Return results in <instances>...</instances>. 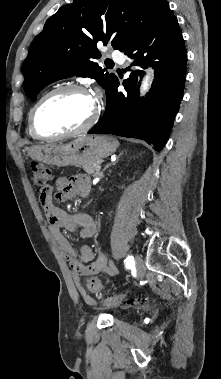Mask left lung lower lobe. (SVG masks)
Wrapping results in <instances>:
<instances>
[{"label": "left lung lower lobe", "mask_w": 221, "mask_h": 379, "mask_svg": "<svg viewBox=\"0 0 221 379\" xmlns=\"http://www.w3.org/2000/svg\"><path fill=\"white\" fill-rule=\"evenodd\" d=\"M125 55L133 59L130 77L123 82L126 92H118L116 79L106 91V110L88 133L114 134L145 140L155 150L162 149L183 97L187 55L178 21L164 1L150 26L131 41ZM150 64L155 79L146 97L139 98L142 69Z\"/></svg>", "instance_id": "obj_1"}]
</instances>
